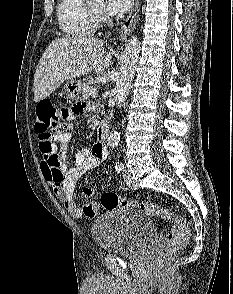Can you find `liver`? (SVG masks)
<instances>
[{"instance_id": "obj_1", "label": "liver", "mask_w": 233, "mask_h": 294, "mask_svg": "<svg viewBox=\"0 0 233 294\" xmlns=\"http://www.w3.org/2000/svg\"><path fill=\"white\" fill-rule=\"evenodd\" d=\"M111 51L105 55V42L96 38L63 37L52 41L34 75L35 102L49 97L66 80L102 72L109 66Z\"/></svg>"}]
</instances>
